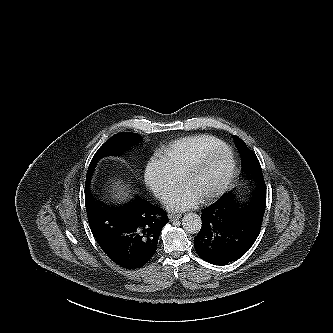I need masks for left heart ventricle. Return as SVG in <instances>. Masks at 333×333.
I'll use <instances>...</instances> for the list:
<instances>
[{
  "label": "left heart ventricle",
  "mask_w": 333,
  "mask_h": 333,
  "mask_svg": "<svg viewBox=\"0 0 333 333\" xmlns=\"http://www.w3.org/2000/svg\"><path fill=\"white\" fill-rule=\"evenodd\" d=\"M229 165L226 153H221L209 161L199 172L185 184L192 188L200 197L214 190L223 180Z\"/></svg>",
  "instance_id": "b2bd125f"
}]
</instances>
